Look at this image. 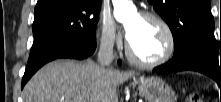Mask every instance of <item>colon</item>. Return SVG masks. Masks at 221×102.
I'll return each mask as SVG.
<instances>
[{
	"label": "colon",
	"instance_id": "obj_1",
	"mask_svg": "<svg viewBox=\"0 0 221 102\" xmlns=\"http://www.w3.org/2000/svg\"><path fill=\"white\" fill-rule=\"evenodd\" d=\"M187 101L188 102H202V98L200 95L193 93L189 95Z\"/></svg>",
	"mask_w": 221,
	"mask_h": 102
}]
</instances>
